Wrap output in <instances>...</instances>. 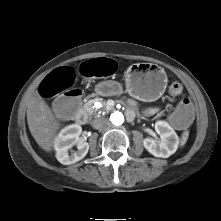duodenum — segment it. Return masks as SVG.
Wrapping results in <instances>:
<instances>
[{
    "instance_id": "obj_1",
    "label": "duodenum",
    "mask_w": 221,
    "mask_h": 221,
    "mask_svg": "<svg viewBox=\"0 0 221 221\" xmlns=\"http://www.w3.org/2000/svg\"><path fill=\"white\" fill-rule=\"evenodd\" d=\"M87 114L85 111L83 110H79L77 115H76V121L79 123V124H85L87 122Z\"/></svg>"
}]
</instances>
